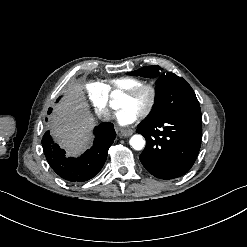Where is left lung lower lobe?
I'll list each match as a JSON object with an SVG mask.
<instances>
[{"label": "left lung lower lobe", "mask_w": 247, "mask_h": 247, "mask_svg": "<svg viewBox=\"0 0 247 247\" xmlns=\"http://www.w3.org/2000/svg\"><path fill=\"white\" fill-rule=\"evenodd\" d=\"M146 138L140 155L145 169L160 179H174L193 166L202 137V120L175 114L154 123H140L136 130Z\"/></svg>", "instance_id": "0a47b994"}]
</instances>
